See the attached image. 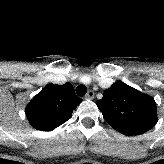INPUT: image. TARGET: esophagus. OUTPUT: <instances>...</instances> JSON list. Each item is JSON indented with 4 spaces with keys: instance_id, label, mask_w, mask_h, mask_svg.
<instances>
[{
    "instance_id": "34e87169",
    "label": "esophagus",
    "mask_w": 164,
    "mask_h": 164,
    "mask_svg": "<svg viewBox=\"0 0 164 164\" xmlns=\"http://www.w3.org/2000/svg\"><path fill=\"white\" fill-rule=\"evenodd\" d=\"M85 98L86 99H93L94 98V92L92 90L88 91Z\"/></svg>"
}]
</instances>
